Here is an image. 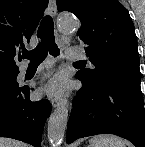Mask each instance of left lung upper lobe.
Segmentation results:
<instances>
[{
	"mask_svg": "<svg viewBox=\"0 0 145 147\" xmlns=\"http://www.w3.org/2000/svg\"><path fill=\"white\" fill-rule=\"evenodd\" d=\"M58 11H69L81 21L79 39L93 69L76 73L96 83L120 71L140 73L135 28L128 10L118 0H57Z\"/></svg>",
	"mask_w": 145,
	"mask_h": 147,
	"instance_id": "left-lung-upper-lobe-1",
	"label": "left lung upper lobe"
}]
</instances>
